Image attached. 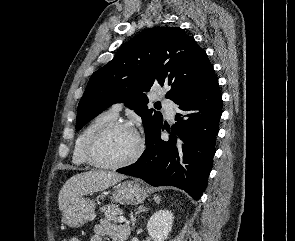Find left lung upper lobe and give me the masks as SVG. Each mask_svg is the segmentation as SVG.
Here are the masks:
<instances>
[{
    "mask_svg": "<svg viewBox=\"0 0 295 241\" xmlns=\"http://www.w3.org/2000/svg\"><path fill=\"white\" fill-rule=\"evenodd\" d=\"M215 75L204 49L178 27L147 29L125 43L114 58L94 72L78 105L76 129L114 103L124 102L142 117L146 143L163 123L148 109L144 92L169 85L166 98L176 102Z\"/></svg>",
    "mask_w": 295,
    "mask_h": 241,
    "instance_id": "5c2ea615",
    "label": "left lung upper lobe"
}]
</instances>
